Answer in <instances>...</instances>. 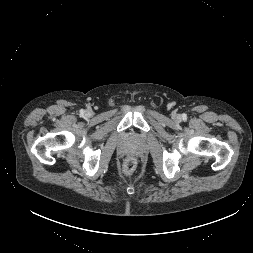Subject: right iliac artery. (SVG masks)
<instances>
[{"mask_svg": "<svg viewBox=\"0 0 253 253\" xmlns=\"http://www.w3.org/2000/svg\"><path fill=\"white\" fill-rule=\"evenodd\" d=\"M83 113H84V111L82 110V111H81V114H83Z\"/></svg>", "mask_w": 253, "mask_h": 253, "instance_id": "obj_1", "label": "right iliac artery"}]
</instances>
